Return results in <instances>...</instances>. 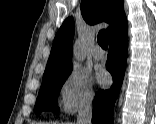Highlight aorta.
Here are the masks:
<instances>
[{
	"mask_svg": "<svg viewBox=\"0 0 156 124\" xmlns=\"http://www.w3.org/2000/svg\"><path fill=\"white\" fill-rule=\"evenodd\" d=\"M73 53H74V59L81 63L85 59V52L83 50L82 43L80 40H76L74 43V48H73Z\"/></svg>",
	"mask_w": 156,
	"mask_h": 124,
	"instance_id": "1",
	"label": "aorta"
}]
</instances>
